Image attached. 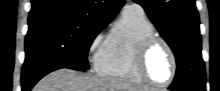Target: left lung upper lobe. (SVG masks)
<instances>
[{"mask_svg": "<svg viewBox=\"0 0 220 91\" xmlns=\"http://www.w3.org/2000/svg\"><path fill=\"white\" fill-rule=\"evenodd\" d=\"M146 11L177 62L173 91H205L199 15L195 0H133Z\"/></svg>", "mask_w": 220, "mask_h": 91, "instance_id": "5c2ea615", "label": "left lung upper lobe"}]
</instances>
